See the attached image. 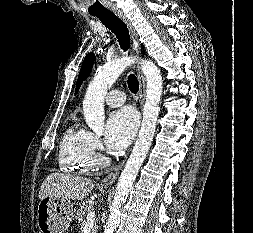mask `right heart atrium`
<instances>
[{"instance_id":"obj_1","label":"right heart atrium","mask_w":253,"mask_h":233,"mask_svg":"<svg viewBox=\"0 0 253 233\" xmlns=\"http://www.w3.org/2000/svg\"><path fill=\"white\" fill-rule=\"evenodd\" d=\"M91 144L94 151L100 152L102 150V142L100 138L92 133H91Z\"/></svg>"}]
</instances>
